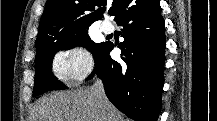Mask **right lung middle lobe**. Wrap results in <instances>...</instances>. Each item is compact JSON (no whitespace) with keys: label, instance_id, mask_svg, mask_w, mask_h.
Masks as SVG:
<instances>
[{"label":"right lung middle lobe","instance_id":"right-lung-middle-lobe-1","mask_svg":"<svg viewBox=\"0 0 217 121\" xmlns=\"http://www.w3.org/2000/svg\"><path fill=\"white\" fill-rule=\"evenodd\" d=\"M87 32L88 28H85L62 39L36 45L33 97L47 91L62 90L66 88L52 74V60L57 51L83 46L93 54L95 61L99 58L105 42L99 44L94 43Z\"/></svg>","mask_w":217,"mask_h":121}]
</instances>
